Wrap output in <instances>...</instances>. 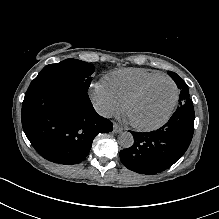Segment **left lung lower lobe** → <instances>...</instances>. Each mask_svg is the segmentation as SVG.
<instances>
[{
	"label": "left lung lower lobe",
	"instance_id": "obj_1",
	"mask_svg": "<svg viewBox=\"0 0 219 219\" xmlns=\"http://www.w3.org/2000/svg\"><path fill=\"white\" fill-rule=\"evenodd\" d=\"M194 107L181 106L169 121L151 132H134V144L120 152L121 162L140 174L160 173L188 149L194 132Z\"/></svg>",
	"mask_w": 219,
	"mask_h": 219
}]
</instances>
